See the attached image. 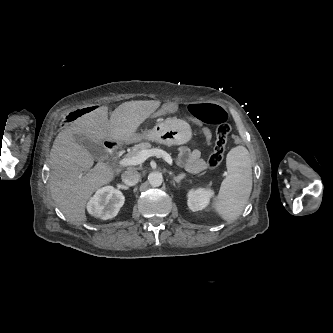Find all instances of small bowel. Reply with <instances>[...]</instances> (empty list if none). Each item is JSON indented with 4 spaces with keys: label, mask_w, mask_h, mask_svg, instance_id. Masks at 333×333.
Instances as JSON below:
<instances>
[{
    "label": "small bowel",
    "mask_w": 333,
    "mask_h": 333,
    "mask_svg": "<svg viewBox=\"0 0 333 333\" xmlns=\"http://www.w3.org/2000/svg\"><path fill=\"white\" fill-rule=\"evenodd\" d=\"M178 109V106L174 102H170L164 106H159L156 108L155 113L159 117H166L171 113L176 112ZM186 119L190 121L194 126L197 128H200L202 126V123L196 119L192 114H188L186 116ZM202 136L205 141V146L207 148H211L213 146V143L211 141H208L210 139L208 127L206 125H203L201 127ZM179 159L182 164H184L185 168L191 172V173H199L205 169V162L201 158V154L197 149H188V148H182L179 152Z\"/></svg>",
    "instance_id": "1"
}]
</instances>
